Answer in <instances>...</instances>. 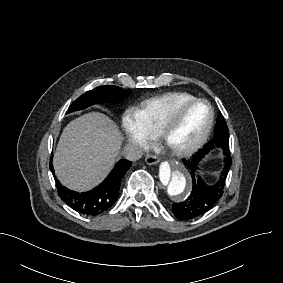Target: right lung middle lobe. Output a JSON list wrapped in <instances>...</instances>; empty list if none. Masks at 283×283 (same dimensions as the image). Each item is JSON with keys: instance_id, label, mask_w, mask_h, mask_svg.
I'll return each instance as SVG.
<instances>
[{"instance_id": "right-lung-middle-lobe-1", "label": "right lung middle lobe", "mask_w": 283, "mask_h": 283, "mask_svg": "<svg viewBox=\"0 0 283 283\" xmlns=\"http://www.w3.org/2000/svg\"><path fill=\"white\" fill-rule=\"evenodd\" d=\"M128 90H123L117 86H99L90 90L76 99L67 110L66 114L77 110H82L88 106L103 102H120L125 95L130 94Z\"/></svg>"}]
</instances>
